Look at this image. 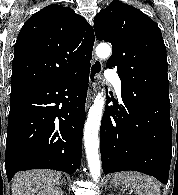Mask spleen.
Segmentation results:
<instances>
[{"label": "spleen", "mask_w": 178, "mask_h": 195, "mask_svg": "<svg viewBox=\"0 0 178 195\" xmlns=\"http://www.w3.org/2000/svg\"><path fill=\"white\" fill-rule=\"evenodd\" d=\"M117 185L136 190L137 195H161L160 183L139 172H120L113 178Z\"/></svg>", "instance_id": "spleen-1"}]
</instances>
